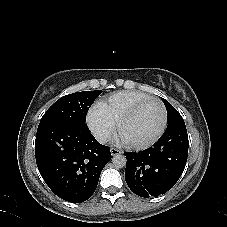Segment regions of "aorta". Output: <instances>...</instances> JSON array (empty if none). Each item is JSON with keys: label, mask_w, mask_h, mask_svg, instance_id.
I'll return each mask as SVG.
<instances>
[{"label": "aorta", "mask_w": 227, "mask_h": 227, "mask_svg": "<svg viewBox=\"0 0 227 227\" xmlns=\"http://www.w3.org/2000/svg\"><path fill=\"white\" fill-rule=\"evenodd\" d=\"M126 162H127V159L124 155L122 154H116L113 156L112 158V163H113V166L116 168V169H119V168H123L126 166Z\"/></svg>", "instance_id": "1"}]
</instances>
